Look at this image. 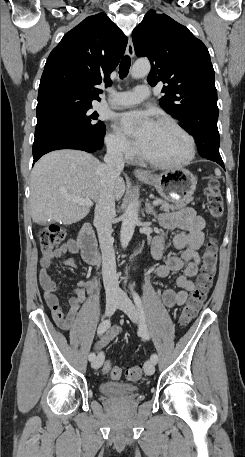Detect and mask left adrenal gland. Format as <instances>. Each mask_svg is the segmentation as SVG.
Wrapping results in <instances>:
<instances>
[{
    "label": "left adrenal gland",
    "mask_w": 245,
    "mask_h": 457,
    "mask_svg": "<svg viewBox=\"0 0 245 457\" xmlns=\"http://www.w3.org/2000/svg\"><path fill=\"white\" fill-rule=\"evenodd\" d=\"M145 204H146L145 208H146L147 214H153L154 218H158L157 212H156L154 206H152L149 198H146Z\"/></svg>",
    "instance_id": "1"
}]
</instances>
